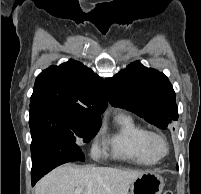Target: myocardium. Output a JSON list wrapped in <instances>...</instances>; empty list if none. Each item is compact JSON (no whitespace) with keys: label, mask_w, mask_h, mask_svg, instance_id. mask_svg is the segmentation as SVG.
<instances>
[{"label":"myocardium","mask_w":201,"mask_h":194,"mask_svg":"<svg viewBox=\"0 0 201 194\" xmlns=\"http://www.w3.org/2000/svg\"><path fill=\"white\" fill-rule=\"evenodd\" d=\"M156 140H160L164 144L165 151H164L163 154H156L153 151V143ZM145 147H146V150H147L148 154L152 158H154L155 160H160V159L165 158L169 154V151H170L169 141L166 138V136L164 134H162L160 132H156V131H149L148 132L146 140H145Z\"/></svg>","instance_id":"obj_1"}]
</instances>
